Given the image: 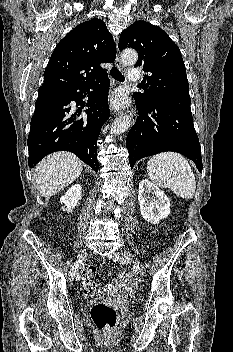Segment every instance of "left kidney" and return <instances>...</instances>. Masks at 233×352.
<instances>
[{
    "label": "left kidney",
    "mask_w": 233,
    "mask_h": 352,
    "mask_svg": "<svg viewBox=\"0 0 233 352\" xmlns=\"http://www.w3.org/2000/svg\"><path fill=\"white\" fill-rule=\"evenodd\" d=\"M138 201L142 217L152 224H158L170 214L168 197L147 179L139 183Z\"/></svg>",
    "instance_id": "obj_1"
}]
</instances>
